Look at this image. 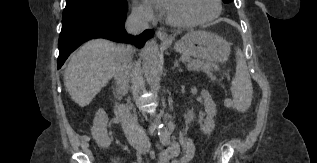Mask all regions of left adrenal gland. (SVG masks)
Instances as JSON below:
<instances>
[{
    "label": "left adrenal gland",
    "mask_w": 317,
    "mask_h": 163,
    "mask_svg": "<svg viewBox=\"0 0 317 163\" xmlns=\"http://www.w3.org/2000/svg\"><path fill=\"white\" fill-rule=\"evenodd\" d=\"M176 67L180 68V66H179V63H178V60H177V59L175 60V62H174V66L172 67V69H174V68H176ZM180 70H181V69H180Z\"/></svg>",
    "instance_id": "a2214340"
}]
</instances>
